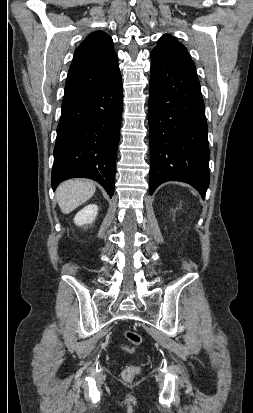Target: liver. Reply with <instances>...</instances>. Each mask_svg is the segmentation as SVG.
Listing matches in <instances>:
<instances>
[{
	"label": "liver",
	"mask_w": 253,
	"mask_h": 413,
	"mask_svg": "<svg viewBox=\"0 0 253 413\" xmlns=\"http://www.w3.org/2000/svg\"><path fill=\"white\" fill-rule=\"evenodd\" d=\"M95 185L88 180H67L59 185L56 198L61 211L68 214L89 200L95 193Z\"/></svg>",
	"instance_id": "obj_1"
}]
</instances>
